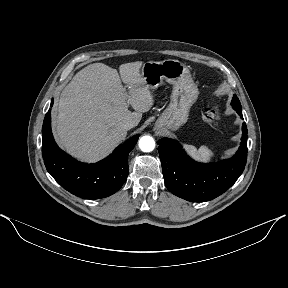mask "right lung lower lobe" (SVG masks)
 <instances>
[{
  "instance_id": "98d812e1",
  "label": "right lung lower lobe",
  "mask_w": 288,
  "mask_h": 288,
  "mask_svg": "<svg viewBox=\"0 0 288 288\" xmlns=\"http://www.w3.org/2000/svg\"><path fill=\"white\" fill-rule=\"evenodd\" d=\"M50 125L51 115L47 112L42 127V156L47 171L64 189L84 199H100L114 194L122 187L129 172L128 155L138 135L118 146L104 160L85 164L76 161L57 146Z\"/></svg>"
}]
</instances>
